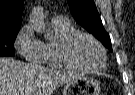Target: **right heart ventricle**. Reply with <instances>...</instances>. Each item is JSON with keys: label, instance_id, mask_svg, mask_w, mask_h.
Instances as JSON below:
<instances>
[{"label": "right heart ventricle", "instance_id": "obj_1", "mask_svg": "<svg viewBox=\"0 0 135 95\" xmlns=\"http://www.w3.org/2000/svg\"><path fill=\"white\" fill-rule=\"evenodd\" d=\"M53 38L43 43L44 45V61L51 67L70 68L64 64L57 55L58 44L69 34L76 31L75 27L66 19H53L50 23Z\"/></svg>", "mask_w": 135, "mask_h": 95}]
</instances>
